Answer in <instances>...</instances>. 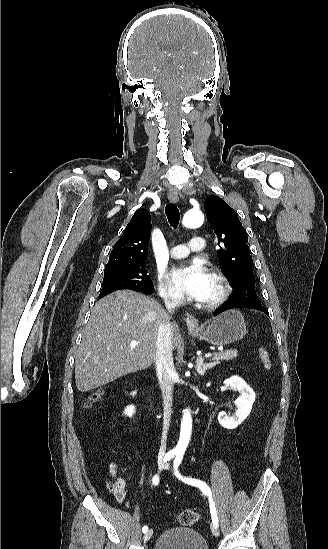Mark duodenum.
Masks as SVG:
<instances>
[{"label":"duodenum","instance_id":"410a0bca","mask_svg":"<svg viewBox=\"0 0 328 549\" xmlns=\"http://www.w3.org/2000/svg\"><path fill=\"white\" fill-rule=\"evenodd\" d=\"M146 405H147V407H148L149 409H151V410H155V409H156V407H155L154 405H152L150 402H146Z\"/></svg>","mask_w":328,"mask_h":549}]
</instances>
